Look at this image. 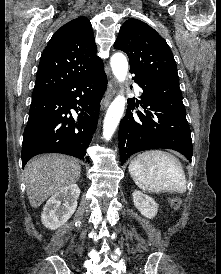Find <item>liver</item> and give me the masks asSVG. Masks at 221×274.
Instances as JSON below:
<instances>
[{
	"instance_id": "6515ba94",
	"label": "liver",
	"mask_w": 221,
	"mask_h": 274,
	"mask_svg": "<svg viewBox=\"0 0 221 274\" xmlns=\"http://www.w3.org/2000/svg\"><path fill=\"white\" fill-rule=\"evenodd\" d=\"M78 161L62 154H45L30 160L25 169L26 192L33 208L39 207L54 193L78 181Z\"/></svg>"
}]
</instances>
